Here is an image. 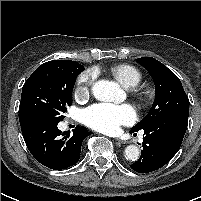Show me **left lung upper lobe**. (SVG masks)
<instances>
[{
  "label": "left lung upper lobe",
  "mask_w": 201,
  "mask_h": 201,
  "mask_svg": "<svg viewBox=\"0 0 201 201\" xmlns=\"http://www.w3.org/2000/svg\"><path fill=\"white\" fill-rule=\"evenodd\" d=\"M136 61L148 70L155 84V100L148 114L130 132L144 129L152 122L168 116H189V99L179 78L152 57Z\"/></svg>",
  "instance_id": "1"
}]
</instances>
